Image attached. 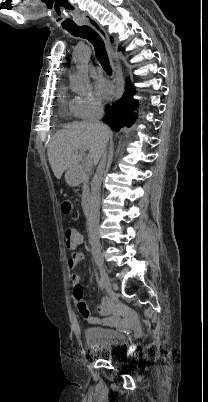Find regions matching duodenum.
<instances>
[{"label": "duodenum", "instance_id": "410a0bca", "mask_svg": "<svg viewBox=\"0 0 208 402\" xmlns=\"http://www.w3.org/2000/svg\"><path fill=\"white\" fill-rule=\"evenodd\" d=\"M82 208L84 212L88 213L90 211V198L89 196H84L82 200Z\"/></svg>", "mask_w": 208, "mask_h": 402}]
</instances>
